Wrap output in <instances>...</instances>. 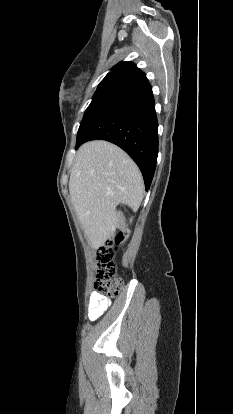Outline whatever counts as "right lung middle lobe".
<instances>
[{"label":"right lung middle lobe","instance_id":"dd1d6c3e","mask_svg":"<svg viewBox=\"0 0 233 414\" xmlns=\"http://www.w3.org/2000/svg\"><path fill=\"white\" fill-rule=\"evenodd\" d=\"M134 81L129 79H123L117 76H108L105 77L101 83L99 84L92 102L90 103L89 107L85 111V115L88 113L90 109H92L94 106L102 102L103 100L114 96L127 88H129ZM84 115V117H85Z\"/></svg>","mask_w":233,"mask_h":414}]
</instances>
